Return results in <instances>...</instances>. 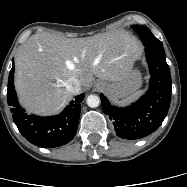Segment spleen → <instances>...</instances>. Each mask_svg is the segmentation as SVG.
<instances>
[{
	"mask_svg": "<svg viewBox=\"0 0 187 187\" xmlns=\"http://www.w3.org/2000/svg\"><path fill=\"white\" fill-rule=\"evenodd\" d=\"M143 92H144V90H139V91L135 92L134 94H132L131 96L119 101L118 104L121 106H125L128 103L133 102L136 99H138L143 94Z\"/></svg>",
	"mask_w": 187,
	"mask_h": 187,
	"instance_id": "3e777b00",
	"label": "spleen"
}]
</instances>
